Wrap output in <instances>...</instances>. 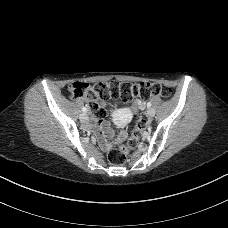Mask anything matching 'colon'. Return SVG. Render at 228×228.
Returning a JSON list of instances; mask_svg holds the SVG:
<instances>
[{"instance_id": "obj_1", "label": "colon", "mask_w": 228, "mask_h": 228, "mask_svg": "<svg viewBox=\"0 0 228 228\" xmlns=\"http://www.w3.org/2000/svg\"><path fill=\"white\" fill-rule=\"evenodd\" d=\"M68 91L74 98H84L87 100L95 125L101 122L103 116V110L99 105V100L107 98H119L123 101H130L135 98L145 100L154 96L166 98L171 93V90L167 86L160 83L117 81L99 82L94 85L86 82H73L68 86ZM146 127V119L140 117L126 145L113 148L109 151V162L114 165H122L125 162L126 153L138 145L141 133Z\"/></svg>"}]
</instances>
